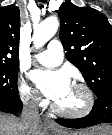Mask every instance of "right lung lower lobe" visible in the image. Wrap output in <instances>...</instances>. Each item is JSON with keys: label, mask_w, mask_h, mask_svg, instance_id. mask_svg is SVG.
Instances as JSON below:
<instances>
[{"label": "right lung lower lobe", "mask_w": 112, "mask_h": 135, "mask_svg": "<svg viewBox=\"0 0 112 135\" xmlns=\"http://www.w3.org/2000/svg\"><path fill=\"white\" fill-rule=\"evenodd\" d=\"M21 110H22L21 101L0 99V111L16 114L21 112Z\"/></svg>", "instance_id": "98d812e1"}]
</instances>
